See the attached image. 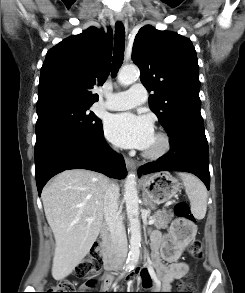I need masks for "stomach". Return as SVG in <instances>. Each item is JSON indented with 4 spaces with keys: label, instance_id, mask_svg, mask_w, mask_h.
<instances>
[{
    "label": "stomach",
    "instance_id": "obj_1",
    "mask_svg": "<svg viewBox=\"0 0 245 293\" xmlns=\"http://www.w3.org/2000/svg\"><path fill=\"white\" fill-rule=\"evenodd\" d=\"M142 186L150 202L156 205L163 204L176 197L180 190L179 182L168 172H159L144 177L142 179ZM190 232L182 240H177V243L181 244L191 241L196 233L193 226Z\"/></svg>",
    "mask_w": 245,
    "mask_h": 293
}]
</instances>
